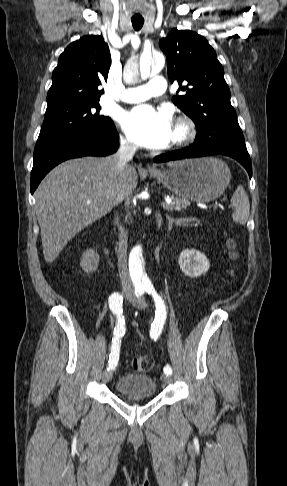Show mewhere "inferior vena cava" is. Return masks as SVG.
Returning a JSON list of instances; mask_svg holds the SVG:
<instances>
[{
    "instance_id": "1",
    "label": "inferior vena cava",
    "mask_w": 287,
    "mask_h": 486,
    "mask_svg": "<svg viewBox=\"0 0 287 486\" xmlns=\"http://www.w3.org/2000/svg\"><path fill=\"white\" fill-rule=\"evenodd\" d=\"M137 146L123 138L120 139L119 150L111 156V164L115 173L123 178L126 175L128 162L133 158ZM113 200L118 201L116 194H113ZM119 218L116 217V223L118 225L120 235L118 242V271L121 280V284L124 290H133V284L130 279L127 268V241L128 233L122 225H119Z\"/></svg>"
}]
</instances>
